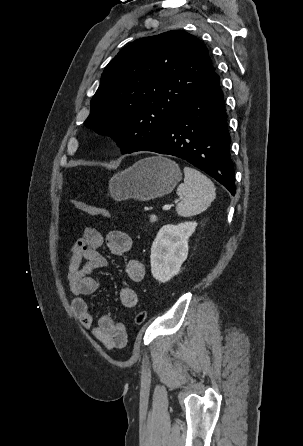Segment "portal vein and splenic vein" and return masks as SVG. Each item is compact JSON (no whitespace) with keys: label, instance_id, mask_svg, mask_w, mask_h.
I'll list each match as a JSON object with an SVG mask.
<instances>
[{"label":"portal vein and splenic vein","instance_id":"18ae733b","mask_svg":"<svg viewBox=\"0 0 303 446\" xmlns=\"http://www.w3.org/2000/svg\"><path fill=\"white\" fill-rule=\"evenodd\" d=\"M177 202H178V200H177ZM171 207H172V205H164L162 209H163L164 211H167V210H170Z\"/></svg>","mask_w":303,"mask_h":446}]
</instances>
